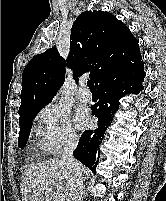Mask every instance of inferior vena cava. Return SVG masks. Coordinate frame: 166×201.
I'll return each mask as SVG.
<instances>
[{
	"instance_id": "602c4592",
	"label": "inferior vena cava",
	"mask_w": 166,
	"mask_h": 201,
	"mask_svg": "<svg viewBox=\"0 0 166 201\" xmlns=\"http://www.w3.org/2000/svg\"><path fill=\"white\" fill-rule=\"evenodd\" d=\"M78 144L77 138H69L63 153L62 160L67 163L71 170L73 186L68 201H81L83 195V177L80 163L74 159L73 152Z\"/></svg>"
}]
</instances>
